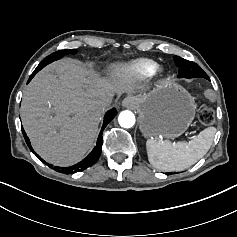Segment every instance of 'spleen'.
<instances>
[{
  "label": "spleen",
  "mask_w": 237,
  "mask_h": 237,
  "mask_svg": "<svg viewBox=\"0 0 237 237\" xmlns=\"http://www.w3.org/2000/svg\"><path fill=\"white\" fill-rule=\"evenodd\" d=\"M216 127L209 126L189 141L146 140L149 163L163 171H182L199 161L210 149Z\"/></svg>",
  "instance_id": "obj_1"
}]
</instances>
